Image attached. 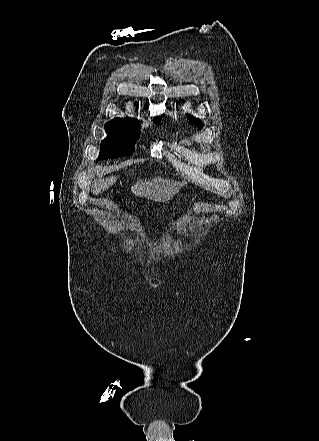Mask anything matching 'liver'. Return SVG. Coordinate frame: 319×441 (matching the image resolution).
I'll return each instance as SVG.
<instances>
[{
  "label": "liver",
  "instance_id": "6515ba94",
  "mask_svg": "<svg viewBox=\"0 0 319 441\" xmlns=\"http://www.w3.org/2000/svg\"><path fill=\"white\" fill-rule=\"evenodd\" d=\"M116 176L107 178H100L92 184L93 194H99L102 191L109 189L117 181ZM183 186L181 182H173L172 180L163 179L162 177H154L151 180H139L132 185V192L139 197L150 199L153 201H168L171 199Z\"/></svg>",
  "mask_w": 319,
  "mask_h": 441
}]
</instances>
